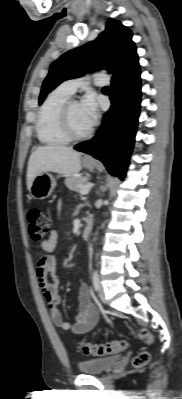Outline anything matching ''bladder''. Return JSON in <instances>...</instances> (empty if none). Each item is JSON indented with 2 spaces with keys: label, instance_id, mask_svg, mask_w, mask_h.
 <instances>
[{
  "label": "bladder",
  "instance_id": "1",
  "mask_svg": "<svg viewBox=\"0 0 182 399\" xmlns=\"http://www.w3.org/2000/svg\"><path fill=\"white\" fill-rule=\"evenodd\" d=\"M119 356H109L80 361L78 368L83 374L96 375L105 373L117 360Z\"/></svg>",
  "mask_w": 182,
  "mask_h": 399
}]
</instances>
